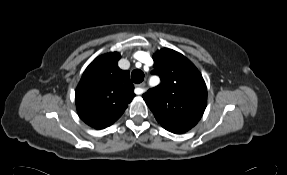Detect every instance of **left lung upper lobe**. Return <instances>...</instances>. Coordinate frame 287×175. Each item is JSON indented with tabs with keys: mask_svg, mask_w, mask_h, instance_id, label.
Listing matches in <instances>:
<instances>
[{
	"mask_svg": "<svg viewBox=\"0 0 287 175\" xmlns=\"http://www.w3.org/2000/svg\"><path fill=\"white\" fill-rule=\"evenodd\" d=\"M154 74L162 83L143 94L156 120L166 130L181 134L193 128L207 105V89L198 69L181 53L158 50L153 56Z\"/></svg>",
	"mask_w": 287,
	"mask_h": 175,
	"instance_id": "1",
	"label": "left lung upper lobe"
}]
</instances>
